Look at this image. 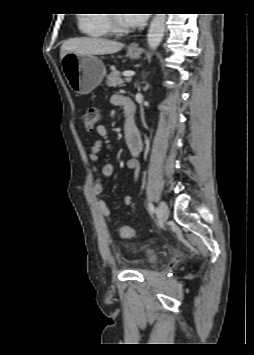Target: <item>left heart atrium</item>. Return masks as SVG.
Returning <instances> with one entry per match:
<instances>
[{
  "instance_id": "obj_1",
  "label": "left heart atrium",
  "mask_w": 254,
  "mask_h": 355,
  "mask_svg": "<svg viewBox=\"0 0 254 355\" xmlns=\"http://www.w3.org/2000/svg\"><path fill=\"white\" fill-rule=\"evenodd\" d=\"M148 16L146 13H135L130 12L123 16V19L127 23L128 26L131 27H140L146 23Z\"/></svg>"
}]
</instances>
